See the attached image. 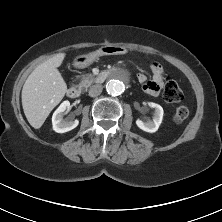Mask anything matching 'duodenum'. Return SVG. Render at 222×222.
Here are the masks:
<instances>
[{"instance_id": "1", "label": "duodenum", "mask_w": 222, "mask_h": 222, "mask_svg": "<svg viewBox=\"0 0 222 222\" xmlns=\"http://www.w3.org/2000/svg\"><path fill=\"white\" fill-rule=\"evenodd\" d=\"M108 77V73H100L96 76V81L98 83L104 82ZM67 94L70 98L76 99L80 97L81 91L76 86H71L67 90Z\"/></svg>"}]
</instances>
